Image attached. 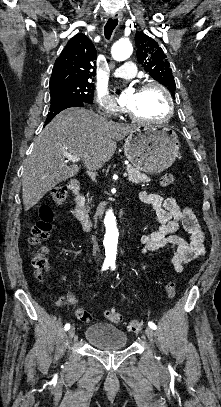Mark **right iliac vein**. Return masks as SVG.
Returning <instances> with one entry per match:
<instances>
[{"instance_id":"1","label":"right iliac vein","mask_w":221,"mask_h":407,"mask_svg":"<svg viewBox=\"0 0 221 407\" xmlns=\"http://www.w3.org/2000/svg\"><path fill=\"white\" fill-rule=\"evenodd\" d=\"M74 334H75V327L72 326V327L69 329V331H68V337H69V339H72L73 336H74Z\"/></svg>"}]
</instances>
